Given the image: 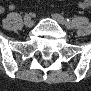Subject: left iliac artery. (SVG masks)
Masks as SVG:
<instances>
[{
	"mask_svg": "<svg viewBox=\"0 0 91 91\" xmlns=\"http://www.w3.org/2000/svg\"><path fill=\"white\" fill-rule=\"evenodd\" d=\"M66 22H67V23H66V26H69V25L71 24V20L68 19V18L66 19Z\"/></svg>",
	"mask_w": 91,
	"mask_h": 91,
	"instance_id": "44dca946",
	"label": "left iliac artery"
}]
</instances>
